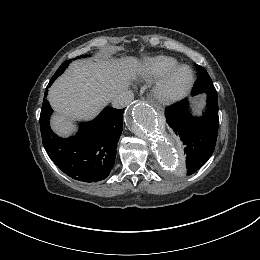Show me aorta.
Instances as JSON below:
<instances>
[{
	"label": "aorta",
	"instance_id": "762f6f07",
	"mask_svg": "<svg viewBox=\"0 0 260 260\" xmlns=\"http://www.w3.org/2000/svg\"><path fill=\"white\" fill-rule=\"evenodd\" d=\"M126 122L136 136L151 146L163 167L182 164L179 139L166 134L164 122L148 104L135 103L126 116Z\"/></svg>",
	"mask_w": 260,
	"mask_h": 260
}]
</instances>
